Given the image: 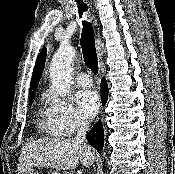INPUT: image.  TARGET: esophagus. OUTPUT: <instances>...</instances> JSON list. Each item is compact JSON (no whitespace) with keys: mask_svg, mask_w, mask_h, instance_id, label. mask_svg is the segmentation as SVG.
<instances>
[{"mask_svg":"<svg viewBox=\"0 0 175 174\" xmlns=\"http://www.w3.org/2000/svg\"><path fill=\"white\" fill-rule=\"evenodd\" d=\"M95 42H96V49H97L98 56L99 58H102L104 47H103L102 39L100 37L99 30H97L95 33Z\"/></svg>","mask_w":175,"mask_h":174,"instance_id":"esophagus-1","label":"esophagus"}]
</instances>
